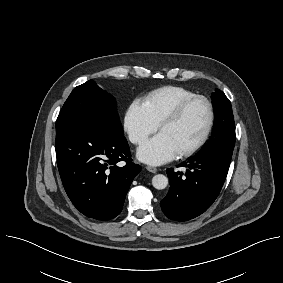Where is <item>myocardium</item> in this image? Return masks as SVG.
<instances>
[{"label":"myocardium","mask_w":283,"mask_h":283,"mask_svg":"<svg viewBox=\"0 0 283 283\" xmlns=\"http://www.w3.org/2000/svg\"><path fill=\"white\" fill-rule=\"evenodd\" d=\"M203 101L207 108H208V123L205 128V131L203 132L202 136L191 146L188 148L180 151L178 153V156L180 157H187L192 154H194L196 151H198L208 140L211 131L214 126V121H215V111H214V106L209 98H207L204 95H194L191 96L185 100H183L167 117H165L161 123L159 124V130L161 131L164 127L174 124L178 122L181 117L183 116L184 112L186 109L195 101Z\"/></svg>","instance_id":"obj_1"}]
</instances>
